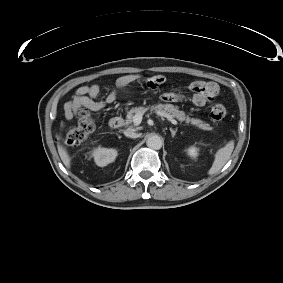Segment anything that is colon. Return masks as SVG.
Segmentation results:
<instances>
[{
    "label": "colon",
    "mask_w": 283,
    "mask_h": 283,
    "mask_svg": "<svg viewBox=\"0 0 283 283\" xmlns=\"http://www.w3.org/2000/svg\"><path fill=\"white\" fill-rule=\"evenodd\" d=\"M209 116L213 121H221L227 116V110L222 104H214L210 108ZM94 130L93 116L87 110H81L77 124L67 129L60 139L67 144H78Z\"/></svg>",
    "instance_id": "colon-1"
}]
</instances>
